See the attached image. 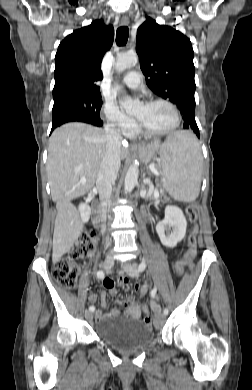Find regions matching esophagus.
I'll list each match as a JSON object with an SVG mask.
<instances>
[{
	"mask_svg": "<svg viewBox=\"0 0 252 390\" xmlns=\"http://www.w3.org/2000/svg\"><path fill=\"white\" fill-rule=\"evenodd\" d=\"M120 22H121L122 25H125V26H126V25L129 24V19H128V17L123 16V17L121 18ZM133 147H135V146H132V148H133Z\"/></svg>",
	"mask_w": 252,
	"mask_h": 390,
	"instance_id": "1",
	"label": "esophagus"
}]
</instances>
